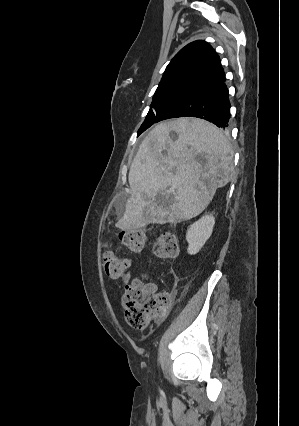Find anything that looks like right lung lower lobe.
I'll list each match as a JSON object with an SVG mask.
<instances>
[{
	"instance_id": "obj_1",
	"label": "right lung lower lobe",
	"mask_w": 299,
	"mask_h": 426,
	"mask_svg": "<svg viewBox=\"0 0 299 426\" xmlns=\"http://www.w3.org/2000/svg\"><path fill=\"white\" fill-rule=\"evenodd\" d=\"M224 80L223 76L197 86L167 108L159 121L187 116L205 119L218 127L227 126L230 103Z\"/></svg>"
}]
</instances>
